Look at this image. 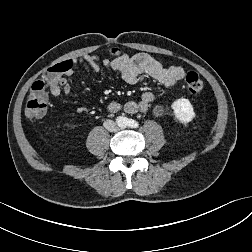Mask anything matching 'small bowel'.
Returning <instances> with one entry per match:
<instances>
[{
	"label": "small bowel",
	"instance_id": "small-bowel-1",
	"mask_svg": "<svg viewBox=\"0 0 252 252\" xmlns=\"http://www.w3.org/2000/svg\"><path fill=\"white\" fill-rule=\"evenodd\" d=\"M75 62L89 63L94 71L99 72V58L96 55L84 54L74 60L65 61L68 70L65 76H70L72 66ZM103 66L107 69L118 71L122 79L128 84H136L145 77H150L164 86L173 87L185 76V71L179 66L164 67L159 61L148 54L138 53L134 55L123 54L113 60L105 59ZM50 94L59 96L62 93L71 92L70 83L63 77L59 82L50 86ZM155 96L152 92H145L138 101H129L124 104L123 110L127 113L146 112L154 102Z\"/></svg>",
	"mask_w": 252,
	"mask_h": 252
}]
</instances>
